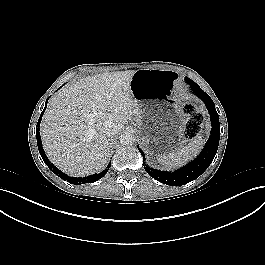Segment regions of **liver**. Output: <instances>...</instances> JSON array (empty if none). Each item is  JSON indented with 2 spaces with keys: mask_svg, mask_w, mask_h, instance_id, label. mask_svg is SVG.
Instances as JSON below:
<instances>
[{
  "mask_svg": "<svg viewBox=\"0 0 265 265\" xmlns=\"http://www.w3.org/2000/svg\"><path fill=\"white\" fill-rule=\"evenodd\" d=\"M135 71L89 76L60 90L48 103L41 123L44 150L50 161L69 175L101 171L109 142L101 133L112 122L117 133L138 111L130 89Z\"/></svg>",
  "mask_w": 265,
  "mask_h": 265,
  "instance_id": "liver-1",
  "label": "liver"
}]
</instances>
